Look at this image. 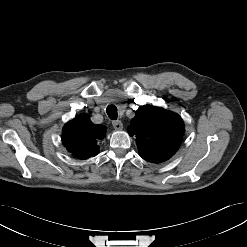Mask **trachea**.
<instances>
[{"label":"trachea","instance_id":"trachea-1","mask_svg":"<svg viewBox=\"0 0 247 247\" xmlns=\"http://www.w3.org/2000/svg\"><path fill=\"white\" fill-rule=\"evenodd\" d=\"M106 112L110 119L112 120L117 119V108L115 105H109L106 109Z\"/></svg>","mask_w":247,"mask_h":247}]
</instances>
